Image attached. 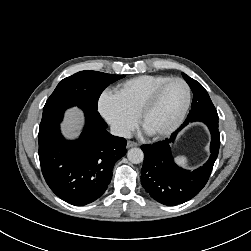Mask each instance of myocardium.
Listing matches in <instances>:
<instances>
[{
	"mask_svg": "<svg viewBox=\"0 0 251 251\" xmlns=\"http://www.w3.org/2000/svg\"><path fill=\"white\" fill-rule=\"evenodd\" d=\"M174 82L182 83L186 89L187 96H186V102L184 104V107H183L182 111L180 112L179 116L177 117V119L166 129L159 131V132H155V133H147L146 132V134L151 138L160 139V138L171 135L173 132H175L180 127V125L183 123V121L186 118V115L189 111V108L191 105V100H192V91H191L190 85L183 78H180V77L170 78L167 81L160 84L158 87H156L151 92V94L146 98V100L143 102V104L141 105V107L137 113L139 125L143 128V121H144V118L147 115V113L155 106V104H156L159 96L163 92V90L169 84L174 83Z\"/></svg>",
	"mask_w": 251,
	"mask_h": 251,
	"instance_id": "obj_1",
	"label": "myocardium"
}]
</instances>
